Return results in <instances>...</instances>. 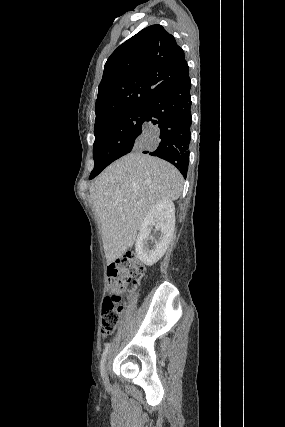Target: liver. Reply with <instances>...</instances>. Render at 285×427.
<instances>
[{"label":"liver","mask_w":285,"mask_h":427,"mask_svg":"<svg viewBox=\"0 0 285 427\" xmlns=\"http://www.w3.org/2000/svg\"><path fill=\"white\" fill-rule=\"evenodd\" d=\"M183 178L170 163L132 152L109 165L92 183L90 197L102 232L107 263L132 247L148 212L162 200H177Z\"/></svg>","instance_id":"liver-1"}]
</instances>
